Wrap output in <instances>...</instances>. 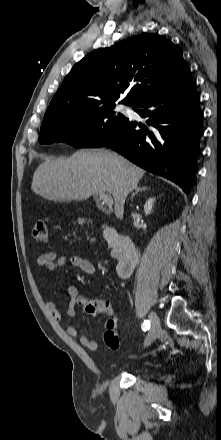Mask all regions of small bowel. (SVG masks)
Listing matches in <instances>:
<instances>
[{
  "label": "small bowel",
  "instance_id": "obj_1",
  "mask_svg": "<svg viewBox=\"0 0 221 440\" xmlns=\"http://www.w3.org/2000/svg\"><path fill=\"white\" fill-rule=\"evenodd\" d=\"M73 266L84 273L88 275H92L95 272V266L93 263L85 258H82L78 255H72V254H64L61 256H57L56 252L54 251H47L42 254H40L36 259V270L39 272L42 269L47 270H56L58 268L64 267V266ZM66 294L70 299L69 305L66 310V314L69 317L74 316L76 307L78 305V301L81 298L78 288L73 284H68L66 286ZM47 311L50 313L52 318L56 322H61L63 317L55 303L51 301H47L45 303ZM66 332L70 337L76 338L79 337L78 329L74 326H68L66 328ZM80 343L90 349V350H96L98 348V343L89 338L88 336H80L79 337Z\"/></svg>",
  "mask_w": 221,
  "mask_h": 440
}]
</instances>
